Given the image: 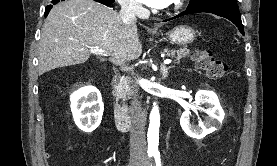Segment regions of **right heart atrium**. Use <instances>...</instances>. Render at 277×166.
<instances>
[{
    "label": "right heart atrium",
    "instance_id": "d8ad5b80",
    "mask_svg": "<svg viewBox=\"0 0 277 166\" xmlns=\"http://www.w3.org/2000/svg\"><path fill=\"white\" fill-rule=\"evenodd\" d=\"M120 5L121 9L125 12L132 14H140L142 12V7L138 0H116Z\"/></svg>",
    "mask_w": 277,
    "mask_h": 166
}]
</instances>
